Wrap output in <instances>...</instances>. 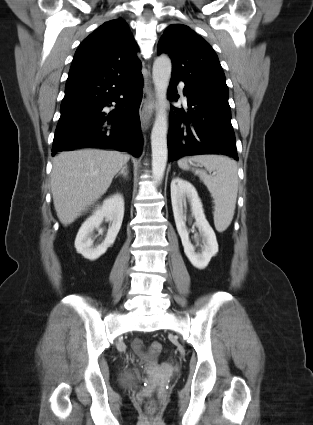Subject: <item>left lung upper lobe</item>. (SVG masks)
<instances>
[{"instance_id":"5c2ea615","label":"left lung upper lobe","mask_w":313,"mask_h":425,"mask_svg":"<svg viewBox=\"0 0 313 425\" xmlns=\"http://www.w3.org/2000/svg\"><path fill=\"white\" fill-rule=\"evenodd\" d=\"M172 60V76L200 90L228 95L225 75L212 47L191 28L172 24L158 44V54Z\"/></svg>"}]
</instances>
